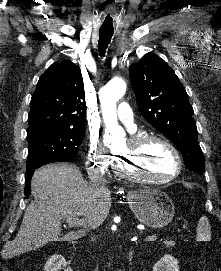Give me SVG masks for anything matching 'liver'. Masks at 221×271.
<instances>
[{
	"label": "liver",
	"mask_w": 221,
	"mask_h": 271,
	"mask_svg": "<svg viewBox=\"0 0 221 271\" xmlns=\"http://www.w3.org/2000/svg\"><path fill=\"white\" fill-rule=\"evenodd\" d=\"M35 203L26 205L20 229L13 241H7L2 257H14L43 247L48 241H72L85 235L93 225L106 219L111 197H102L88 185L76 165L51 163L36 169L31 179ZM65 215L86 217L85 229L68 231L61 237V219Z\"/></svg>",
	"instance_id": "obj_1"
}]
</instances>
